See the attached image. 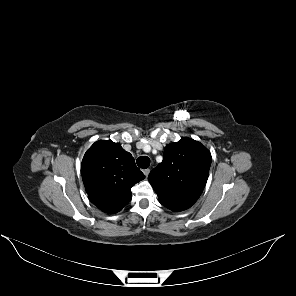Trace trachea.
<instances>
[{
  "mask_svg": "<svg viewBox=\"0 0 296 296\" xmlns=\"http://www.w3.org/2000/svg\"><path fill=\"white\" fill-rule=\"evenodd\" d=\"M137 165L140 168H143V169L148 168L149 165H150V159H149V157H147V156H140V157H138V159H137Z\"/></svg>",
  "mask_w": 296,
  "mask_h": 296,
  "instance_id": "trachea-1",
  "label": "trachea"
}]
</instances>
